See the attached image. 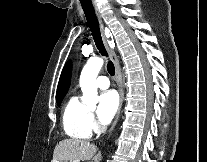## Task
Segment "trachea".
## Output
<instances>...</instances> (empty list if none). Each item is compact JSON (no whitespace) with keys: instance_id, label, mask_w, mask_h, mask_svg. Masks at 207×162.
I'll return each instance as SVG.
<instances>
[{"instance_id":"trachea-1","label":"trachea","mask_w":207,"mask_h":162,"mask_svg":"<svg viewBox=\"0 0 207 162\" xmlns=\"http://www.w3.org/2000/svg\"><path fill=\"white\" fill-rule=\"evenodd\" d=\"M80 2L84 10L90 31L92 32V36L97 46V49L103 56L108 57L107 51L102 41L99 24H98L91 0H80ZM107 70L111 76H114L115 68H114L113 63L110 60H108Z\"/></svg>"}]
</instances>
